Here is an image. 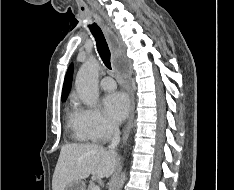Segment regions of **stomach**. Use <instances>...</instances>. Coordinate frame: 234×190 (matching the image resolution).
Segmentation results:
<instances>
[{
  "mask_svg": "<svg viewBox=\"0 0 234 190\" xmlns=\"http://www.w3.org/2000/svg\"><path fill=\"white\" fill-rule=\"evenodd\" d=\"M85 182L82 180H75L69 183L65 190H85Z\"/></svg>",
  "mask_w": 234,
  "mask_h": 190,
  "instance_id": "1",
  "label": "stomach"
}]
</instances>
